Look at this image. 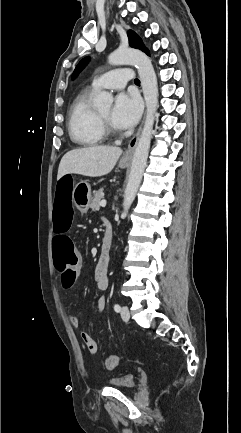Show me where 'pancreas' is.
I'll return each mask as SVG.
<instances>
[{
  "label": "pancreas",
  "instance_id": "obj_1",
  "mask_svg": "<svg viewBox=\"0 0 241 433\" xmlns=\"http://www.w3.org/2000/svg\"><path fill=\"white\" fill-rule=\"evenodd\" d=\"M102 198H103V189H100L98 192L95 193L94 198L90 203V208L93 211H98L100 209V202Z\"/></svg>",
  "mask_w": 241,
  "mask_h": 433
}]
</instances>
